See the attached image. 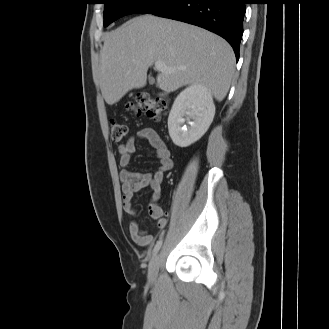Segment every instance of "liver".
<instances>
[{"mask_svg": "<svg viewBox=\"0 0 329 329\" xmlns=\"http://www.w3.org/2000/svg\"><path fill=\"white\" fill-rule=\"evenodd\" d=\"M100 56V87L109 105L145 86L148 68L156 61L174 70L157 75V86L166 93L200 84L222 101L235 66L232 47L221 37L153 15L135 17L107 33Z\"/></svg>", "mask_w": 329, "mask_h": 329, "instance_id": "liver-1", "label": "liver"}]
</instances>
